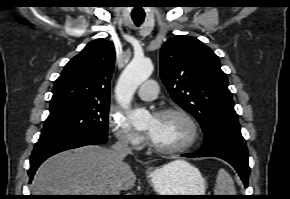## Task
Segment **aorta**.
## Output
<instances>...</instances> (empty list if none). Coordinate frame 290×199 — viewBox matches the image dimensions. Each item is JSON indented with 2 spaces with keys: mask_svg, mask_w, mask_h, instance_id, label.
Here are the masks:
<instances>
[{
  "mask_svg": "<svg viewBox=\"0 0 290 199\" xmlns=\"http://www.w3.org/2000/svg\"><path fill=\"white\" fill-rule=\"evenodd\" d=\"M153 69L151 61L134 58L124 69L116 86L117 101L127 110L128 117L136 129L147 126L150 114L145 109L130 110V102L136 89L151 76Z\"/></svg>",
  "mask_w": 290,
  "mask_h": 199,
  "instance_id": "1",
  "label": "aorta"
}]
</instances>
